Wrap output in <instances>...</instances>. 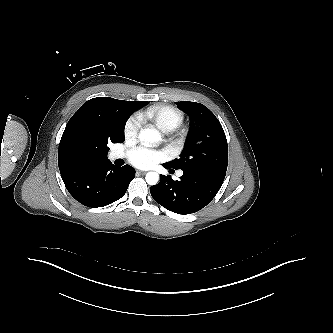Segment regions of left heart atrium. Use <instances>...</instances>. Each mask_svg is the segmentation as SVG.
<instances>
[{
	"mask_svg": "<svg viewBox=\"0 0 333 333\" xmlns=\"http://www.w3.org/2000/svg\"><path fill=\"white\" fill-rule=\"evenodd\" d=\"M164 158L165 153L163 151L151 150L145 147H136L128 154L129 161L139 168H149Z\"/></svg>",
	"mask_w": 333,
	"mask_h": 333,
	"instance_id": "obj_1",
	"label": "left heart atrium"
}]
</instances>
